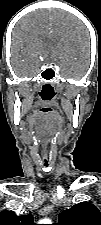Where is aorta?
<instances>
[{"mask_svg":"<svg viewBox=\"0 0 101 225\" xmlns=\"http://www.w3.org/2000/svg\"><path fill=\"white\" fill-rule=\"evenodd\" d=\"M41 224H50V220L45 219L40 222Z\"/></svg>","mask_w":101,"mask_h":225,"instance_id":"762f6f07","label":"aorta"}]
</instances>
